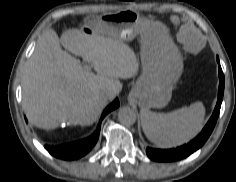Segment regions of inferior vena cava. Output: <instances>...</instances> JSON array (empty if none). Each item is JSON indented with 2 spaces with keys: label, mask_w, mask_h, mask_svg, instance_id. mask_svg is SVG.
<instances>
[{
  "label": "inferior vena cava",
  "mask_w": 236,
  "mask_h": 182,
  "mask_svg": "<svg viewBox=\"0 0 236 182\" xmlns=\"http://www.w3.org/2000/svg\"><path fill=\"white\" fill-rule=\"evenodd\" d=\"M100 96L104 99H110L113 97V92L105 89L101 91Z\"/></svg>",
  "instance_id": "inferior-vena-cava-1"
}]
</instances>
